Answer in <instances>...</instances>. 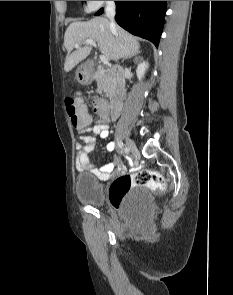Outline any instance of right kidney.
I'll return each instance as SVG.
<instances>
[{
  "instance_id": "obj_1",
  "label": "right kidney",
  "mask_w": 233,
  "mask_h": 295,
  "mask_svg": "<svg viewBox=\"0 0 233 295\" xmlns=\"http://www.w3.org/2000/svg\"><path fill=\"white\" fill-rule=\"evenodd\" d=\"M148 68V63L147 62H142L138 64L136 74L139 80H141L144 77V74Z\"/></svg>"
}]
</instances>
